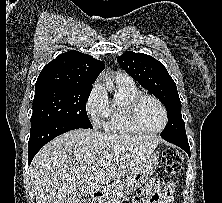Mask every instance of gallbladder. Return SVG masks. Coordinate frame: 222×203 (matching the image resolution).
Instances as JSON below:
<instances>
[{
  "label": "gallbladder",
  "mask_w": 222,
  "mask_h": 203,
  "mask_svg": "<svg viewBox=\"0 0 222 203\" xmlns=\"http://www.w3.org/2000/svg\"><path fill=\"white\" fill-rule=\"evenodd\" d=\"M81 203H90V198L89 197H84Z\"/></svg>",
  "instance_id": "gallbladder-1"
}]
</instances>
